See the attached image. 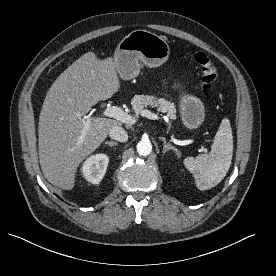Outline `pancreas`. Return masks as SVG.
Here are the masks:
<instances>
[{"label": "pancreas", "mask_w": 276, "mask_h": 276, "mask_svg": "<svg viewBox=\"0 0 276 276\" xmlns=\"http://www.w3.org/2000/svg\"><path fill=\"white\" fill-rule=\"evenodd\" d=\"M131 105L136 114L141 113L144 108L151 107L165 113L170 119L176 118L174 103L165 99H158L152 95H135L131 100Z\"/></svg>", "instance_id": "pancreas-1"}]
</instances>
